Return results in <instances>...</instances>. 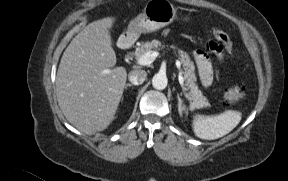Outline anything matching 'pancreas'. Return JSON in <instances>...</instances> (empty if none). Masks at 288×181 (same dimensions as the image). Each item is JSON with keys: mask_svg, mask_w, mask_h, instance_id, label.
Wrapping results in <instances>:
<instances>
[{"mask_svg": "<svg viewBox=\"0 0 288 181\" xmlns=\"http://www.w3.org/2000/svg\"><path fill=\"white\" fill-rule=\"evenodd\" d=\"M165 47L162 43L158 40L146 41L142 42L140 47L136 48L135 55L139 58L143 54L149 51H156L160 50L161 48ZM171 48L174 50L177 48L176 46L172 45ZM176 54V51H174ZM178 57L183 64L184 67V80L186 82V89L189 90L187 97L190 100V106L193 109H199L203 107L210 106L207 98L202 94L201 90H199L196 82L195 76V66L194 63L191 61L189 55L181 50L178 49Z\"/></svg>", "mask_w": 288, "mask_h": 181, "instance_id": "cf45deb5", "label": "pancreas"}]
</instances>
